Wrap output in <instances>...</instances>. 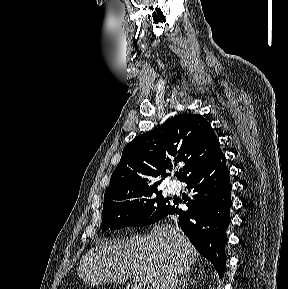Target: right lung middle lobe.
<instances>
[{
	"mask_svg": "<svg viewBox=\"0 0 288 289\" xmlns=\"http://www.w3.org/2000/svg\"><path fill=\"white\" fill-rule=\"evenodd\" d=\"M172 207L157 187L112 193L104 196L102 232L128 226L150 225Z\"/></svg>",
	"mask_w": 288,
	"mask_h": 289,
	"instance_id": "dd1d6c3e",
	"label": "right lung middle lobe"
}]
</instances>
